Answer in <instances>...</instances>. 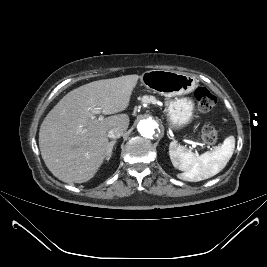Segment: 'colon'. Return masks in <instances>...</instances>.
<instances>
[{"instance_id":"1","label":"colon","mask_w":267,"mask_h":267,"mask_svg":"<svg viewBox=\"0 0 267 267\" xmlns=\"http://www.w3.org/2000/svg\"><path fill=\"white\" fill-rule=\"evenodd\" d=\"M195 98L200 110L206 115H210L216 105V97L207 88L199 87L195 90ZM201 137L207 145H214L219 139L217 130L211 125L203 127Z\"/></svg>"}]
</instances>
